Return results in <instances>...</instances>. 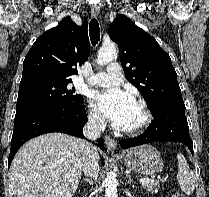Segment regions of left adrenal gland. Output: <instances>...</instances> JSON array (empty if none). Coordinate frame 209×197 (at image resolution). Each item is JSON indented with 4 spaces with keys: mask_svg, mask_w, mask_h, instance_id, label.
I'll return each mask as SVG.
<instances>
[{
    "mask_svg": "<svg viewBox=\"0 0 209 197\" xmlns=\"http://www.w3.org/2000/svg\"><path fill=\"white\" fill-rule=\"evenodd\" d=\"M126 176L128 178V184H131V182H133L131 175L127 174Z\"/></svg>",
    "mask_w": 209,
    "mask_h": 197,
    "instance_id": "obj_1",
    "label": "left adrenal gland"
}]
</instances>
